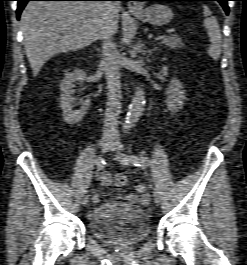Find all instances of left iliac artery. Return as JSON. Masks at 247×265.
<instances>
[{"label":"left iliac artery","mask_w":247,"mask_h":265,"mask_svg":"<svg viewBox=\"0 0 247 265\" xmlns=\"http://www.w3.org/2000/svg\"><path fill=\"white\" fill-rule=\"evenodd\" d=\"M119 160L126 164H131L135 166H145V165H152V161L148 159L147 157H139L134 155H125L121 154L119 157Z\"/></svg>","instance_id":"obj_1"}]
</instances>
